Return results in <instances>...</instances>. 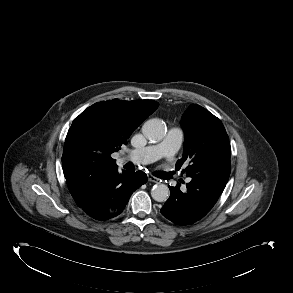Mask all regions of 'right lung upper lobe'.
I'll use <instances>...</instances> for the list:
<instances>
[{
  "instance_id": "obj_1",
  "label": "right lung upper lobe",
  "mask_w": 293,
  "mask_h": 293,
  "mask_svg": "<svg viewBox=\"0 0 293 293\" xmlns=\"http://www.w3.org/2000/svg\"><path fill=\"white\" fill-rule=\"evenodd\" d=\"M153 100L122 101L113 99L95 103L83 111L70 127L62 156L63 172L68 188L77 205L94 213L110 210V204H94L88 199L80 201V186L92 175L118 167L111 154L117 152L133 131L157 108ZM98 154L103 164L84 169L79 156L84 153Z\"/></svg>"
}]
</instances>
